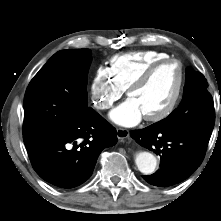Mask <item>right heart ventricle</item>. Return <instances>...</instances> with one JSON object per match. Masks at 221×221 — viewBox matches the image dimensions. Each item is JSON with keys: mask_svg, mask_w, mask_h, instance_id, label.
I'll list each match as a JSON object with an SVG mask.
<instances>
[{"mask_svg": "<svg viewBox=\"0 0 221 221\" xmlns=\"http://www.w3.org/2000/svg\"><path fill=\"white\" fill-rule=\"evenodd\" d=\"M167 58H170L167 53L156 50L123 53L110 59L108 69L115 81L126 90L147 67Z\"/></svg>", "mask_w": 221, "mask_h": 221, "instance_id": "right-heart-ventricle-1", "label": "right heart ventricle"}]
</instances>
